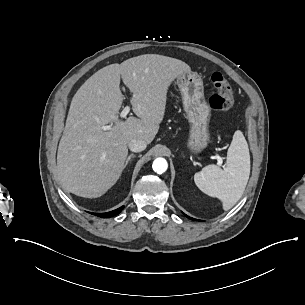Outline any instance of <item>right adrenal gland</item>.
Returning a JSON list of instances; mask_svg holds the SVG:
<instances>
[{
	"instance_id": "2a0ac1e0",
	"label": "right adrenal gland",
	"mask_w": 305,
	"mask_h": 305,
	"mask_svg": "<svg viewBox=\"0 0 305 305\" xmlns=\"http://www.w3.org/2000/svg\"><path fill=\"white\" fill-rule=\"evenodd\" d=\"M134 158L135 157V154H130L129 156H128V158H127V160H126V163H125V167L127 166V164H128V162L131 160V158Z\"/></svg>"
}]
</instances>
